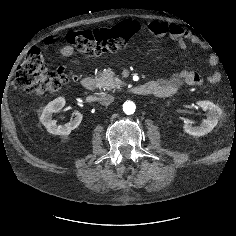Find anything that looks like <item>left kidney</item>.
I'll return each mask as SVG.
<instances>
[{
    "mask_svg": "<svg viewBox=\"0 0 236 236\" xmlns=\"http://www.w3.org/2000/svg\"><path fill=\"white\" fill-rule=\"evenodd\" d=\"M197 105L207 111V119H204L198 126H192L186 122L183 128L189 135L203 136L210 133L217 125L219 117L222 115V110L220 107L208 100L198 101Z\"/></svg>",
    "mask_w": 236,
    "mask_h": 236,
    "instance_id": "obj_1",
    "label": "left kidney"
}]
</instances>
